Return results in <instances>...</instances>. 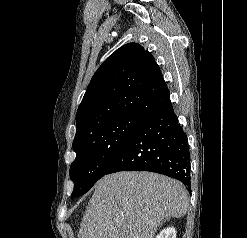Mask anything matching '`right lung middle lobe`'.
Returning <instances> with one entry per match:
<instances>
[{
    "label": "right lung middle lobe",
    "instance_id": "obj_1",
    "mask_svg": "<svg viewBox=\"0 0 247 238\" xmlns=\"http://www.w3.org/2000/svg\"><path fill=\"white\" fill-rule=\"evenodd\" d=\"M143 120L139 116L120 117L74 139L76 158L70 166L74 182L71 197L85 194L106 174Z\"/></svg>",
    "mask_w": 247,
    "mask_h": 238
}]
</instances>
